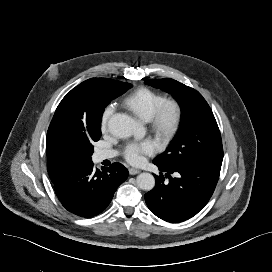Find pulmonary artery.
Returning <instances> with one entry per match:
<instances>
[{"mask_svg":"<svg viewBox=\"0 0 272 272\" xmlns=\"http://www.w3.org/2000/svg\"><path fill=\"white\" fill-rule=\"evenodd\" d=\"M116 155L115 151H111V150H98L95 153V159L96 161H103L106 159H110L113 158Z\"/></svg>","mask_w":272,"mask_h":272,"instance_id":"1","label":"pulmonary artery"}]
</instances>
